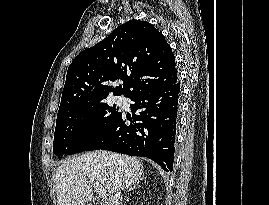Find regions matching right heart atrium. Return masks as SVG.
Listing matches in <instances>:
<instances>
[{"label": "right heart atrium", "instance_id": "obj_1", "mask_svg": "<svg viewBox=\"0 0 269 205\" xmlns=\"http://www.w3.org/2000/svg\"><path fill=\"white\" fill-rule=\"evenodd\" d=\"M98 126V120L95 116L87 118L83 124V129L86 132H91L95 130Z\"/></svg>", "mask_w": 269, "mask_h": 205}]
</instances>
